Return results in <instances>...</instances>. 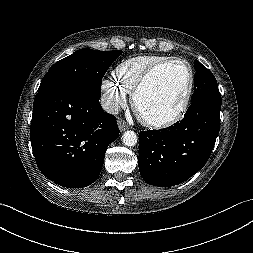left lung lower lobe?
<instances>
[{
  "mask_svg": "<svg viewBox=\"0 0 253 253\" xmlns=\"http://www.w3.org/2000/svg\"><path fill=\"white\" fill-rule=\"evenodd\" d=\"M221 99L192 103L184 118L161 130L139 134V171L150 185L180 184L209 159L220 129Z\"/></svg>",
  "mask_w": 253,
  "mask_h": 253,
  "instance_id": "0a47b994",
  "label": "left lung lower lobe"
}]
</instances>
